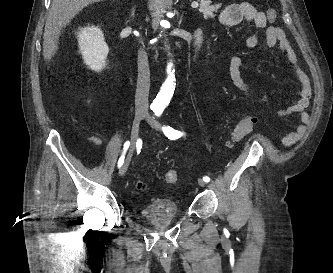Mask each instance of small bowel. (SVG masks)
<instances>
[{"label":"small bowel","mask_w":333,"mask_h":273,"mask_svg":"<svg viewBox=\"0 0 333 273\" xmlns=\"http://www.w3.org/2000/svg\"><path fill=\"white\" fill-rule=\"evenodd\" d=\"M267 14L257 10L253 5L248 2L232 3L227 5L220 14V23L225 27H236L243 21L251 22L256 28L266 29V44L268 47H274L276 45L286 53L289 63L294 67L295 73L301 84L302 97L300 101L291 109L281 111V115H287L289 113H299L301 114L302 120H305L304 110L308 102V81L307 76L303 70L298 65V58L292 49L288 39L285 36L284 31L273 25H268L265 22V17ZM259 44V37L256 34H252L246 37L245 45L247 47L253 48ZM244 65V59L241 56H234L229 61L228 72L234 85L250 100H254V95L244 80L241 74V68ZM251 117L256 123L257 119L254 116ZM302 131V127L298 128V132ZM297 137V134H291L287 138V142H293ZM89 142L93 143L97 147H102L103 141L97 135H92L89 137Z\"/></svg>","instance_id":"c3829d8e"}]
</instances>
